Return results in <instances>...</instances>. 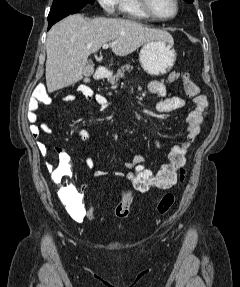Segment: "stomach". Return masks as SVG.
<instances>
[{"mask_svg": "<svg viewBox=\"0 0 240 287\" xmlns=\"http://www.w3.org/2000/svg\"><path fill=\"white\" fill-rule=\"evenodd\" d=\"M172 40L157 39L145 43L139 53V61L148 74L164 75L169 72L176 61V51Z\"/></svg>", "mask_w": 240, "mask_h": 287, "instance_id": "1", "label": "stomach"}]
</instances>
